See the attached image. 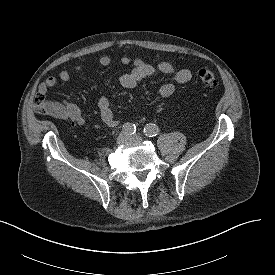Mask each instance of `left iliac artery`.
I'll list each match as a JSON object with an SVG mask.
<instances>
[{
    "label": "left iliac artery",
    "instance_id": "left-iliac-artery-1",
    "mask_svg": "<svg viewBox=\"0 0 275 275\" xmlns=\"http://www.w3.org/2000/svg\"><path fill=\"white\" fill-rule=\"evenodd\" d=\"M143 132L148 137H154L159 134V128L155 124H147L144 127Z\"/></svg>",
    "mask_w": 275,
    "mask_h": 275
}]
</instances>
